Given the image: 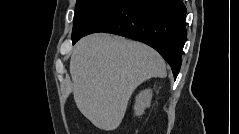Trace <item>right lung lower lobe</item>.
<instances>
[{
  "label": "right lung lower lobe",
  "mask_w": 239,
  "mask_h": 134,
  "mask_svg": "<svg viewBox=\"0 0 239 134\" xmlns=\"http://www.w3.org/2000/svg\"><path fill=\"white\" fill-rule=\"evenodd\" d=\"M185 15L181 0H120L82 36L107 32L144 42L163 56L176 78L187 37Z\"/></svg>",
  "instance_id": "obj_1"
}]
</instances>
